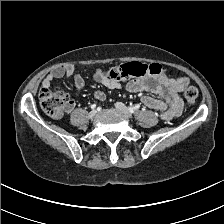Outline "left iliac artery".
<instances>
[{"mask_svg":"<svg viewBox=\"0 0 224 224\" xmlns=\"http://www.w3.org/2000/svg\"><path fill=\"white\" fill-rule=\"evenodd\" d=\"M139 107L140 106L137 104L134 107H129L128 110H129L130 113H134V111L137 110V109H139Z\"/></svg>","mask_w":224,"mask_h":224,"instance_id":"obj_1","label":"left iliac artery"}]
</instances>
